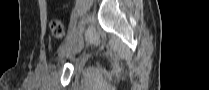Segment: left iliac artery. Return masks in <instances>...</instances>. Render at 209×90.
<instances>
[{"instance_id":"obj_1","label":"left iliac artery","mask_w":209,"mask_h":90,"mask_svg":"<svg viewBox=\"0 0 209 90\" xmlns=\"http://www.w3.org/2000/svg\"><path fill=\"white\" fill-rule=\"evenodd\" d=\"M79 8H80L79 6L74 8V13H76V14L72 15V19H71V22H70V27L67 29L66 35L68 37L73 36L74 29H76V27H77V21L80 18Z\"/></svg>"}]
</instances>
